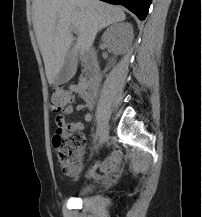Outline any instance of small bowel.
<instances>
[{"mask_svg": "<svg viewBox=\"0 0 202 217\" xmlns=\"http://www.w3.org/2000/svg\"><path fill=\"white\" fill-rule=\"evenodd\" d=\"M70 90L77 96L83 99V102L76 106L78 111L82 110H91L94 107V99L96 93H89L85 89L84 81H81L77 85L70 86ZM73 111V107L67 108L64 113L70 114ZM84 120L86 122H90L92 120L91 113H86L84 116ZM71 127L78 130L84 129V124L82 122H74L70 123ZM123 156L120 148H115L112 153L105 159L96 162L88 171L89 176L93 178H97L99 176L98 171L105 174L106 176H110L116 173L122 166Z\"/></svg>", "mask_w": 202, "mask_h": 217, "instance_id": "c3829d8e", "label": "small bowel"}]
</instances>
